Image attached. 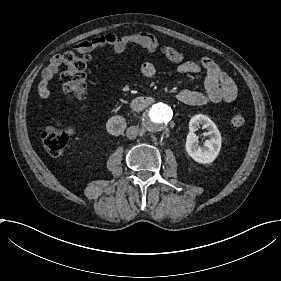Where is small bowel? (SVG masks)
Wrapping results in <instances>:
<instances>
[{
    "label": "small bowel",
    "instance_id": "1",
    "mask_svg": "<svg viewBox=\"0 0 281 281\" xmlns=\"http://www.w3.org/2000/svg\"><path fill=\"white\" fill-rule=\"evenodd\" d=\"M102 44L111 47L115 52H124L129 47H143L148 52H155L159 48L157 38L149 32L109 33L101 39ZM75 49L71 52L75 55ZM163 54L176 64L179 74H196L204 70L207 74L205 86L201 90L182 89L176 93V100L182 104L204 105L215 104L221 101L232 102L237 99V88L234 81L209 57H200L198 62L185 61L184 54L169 46L162 49ZM63 54L54 55L48 66L41 74L39 95L42 99L51 97L49 83L65 63ZM142 74L147 78H155L158 67L152 62H145L141 66ZM67 90H64L66 93Z\"/></svg>",
    "mask_w": 281,
    "mask_h": 281
}]
</instances>
